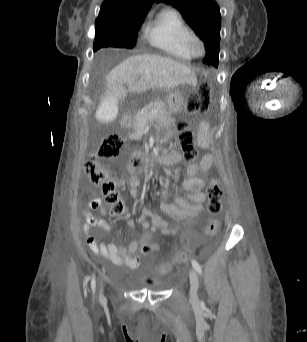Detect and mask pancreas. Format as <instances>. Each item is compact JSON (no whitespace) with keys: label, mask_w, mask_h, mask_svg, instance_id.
<instances>
[{"label":"pancreas","mask_w":307,"mask_h":342,"mask_svg":"<svg viewBox=\"0 0 307 342\" xmlns=\"http://www.w3.org/2000/svg\"><path fill=\"white\" fill-rule=\"evenodd\" d=\"M165 112H167L165 108V102L163 100H156V102H151V104H148L146 108H144V112H138L135 116V122L133 124L135 132H138V134H142L148 118L151 119H164L167 118L169 115Z\"/></svg>","instance_id":"cf45deb5"}]
</instances>
